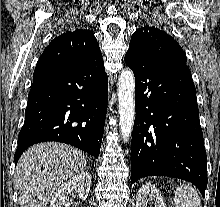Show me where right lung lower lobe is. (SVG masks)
Segmentation results:
<instances>
[{
    "label": "right lung lower lobe",
    "instance_id": "98d812e1",
    "mask_svg": "<svg viewBox=\"0 0 220 207\" xmlns=\"http://www.w3.org/2000/svg\"><path fill=\"white\" fill-rule=\"evenodd\" d=\"M107 104L101 52L71 65L36 67L15 164L28 147L46 141L70 144L98 158Z\"/></svg>",
    "mask_w": 220,
    "mask_h": 207
}]
</instances>
